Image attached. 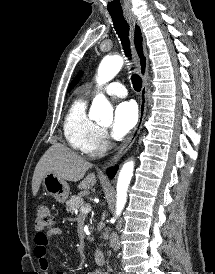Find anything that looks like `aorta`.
Returning a JSON list of instances; mask_svg holds the SVG:
<instances>
[{
  "label": "aorta",
  "mask_w": 215,
  "mask_h": 274,
  "mask_svg": "<svg viewBox=\"0 0 215 274\" xmlns=\"http://www.w3.org/2000/svg\"><path fill=\"white\" fill-rule=\"evenodd\" d=\"M123 65L121 56H106L98 68L97 83L102 85L113 79ZM89 117L104 124H110L113 120V108L103 94H98L92 102ZM134 162H126L120 170L117 181L116 215H120L127 200V190L133 176Z\"/></svg>",
  "instance_id": "aorta-1"
}]
</instances>
